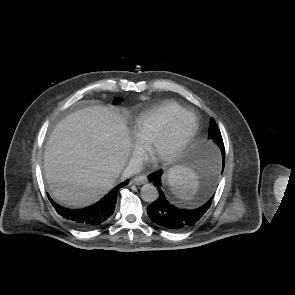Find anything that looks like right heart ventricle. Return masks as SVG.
I'll return each instance as SVG.
<instances>
[{"mask_svg":"<svg viewBox=\"0 0 295 295\" xmlns=\"http://www.w3.org/2000/svg\"><path fill=\"white\" fill-rule=\"evenodd\" d=\"M183 111L184 108L179 104L175 102H165L139 114L132 123L134 139L142 147H148L157 135Z\"/></svg>","mask_w":295,"mask_h":295,"instance_id":"1","label":"right heart ventricle"}]
</instances>
